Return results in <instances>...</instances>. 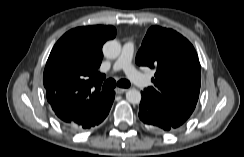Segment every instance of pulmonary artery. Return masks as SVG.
Returning a JSON list of instances; mask_svg holds the SVG:
<instances>
[{
	"label": "pulmonary artery",
	"instance_id": "1",
	"mask_svg": "<svg viewBox=\"0 0 244 157\" xmlns=\"http://www.w3.org/2000/svg\"><path fill=\"white\" fill-rule=\"evenodd\" d=\"M135 45L132 41L124 43L120 57L114 64L113 70H123L125 74L140 87H146L149 85V79L143 74L139 73L132 64V58Z\"/></svg>",
	"mask_w": 244,
	"mask_h": 157
}]
</instances>
